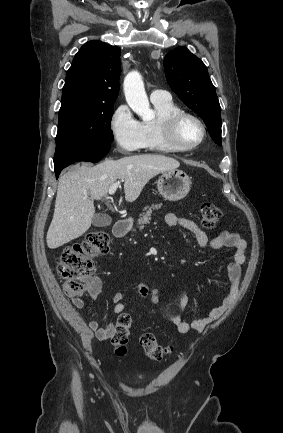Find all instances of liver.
Segmentation results:
<instances>
[{"mask_svg":"<svg viewBox=\"0 0 283 433\" xmlns=\"http://www.w3.org/2000/svg\"><path fill=\"white\" fill-rule=\"evenodd\" d=\"M178 166L179 160L171 156L135 154L119 160L106 158L96 166L83 162L77 170L66 172L58 180L53 219L46 237L49 249L62 247L90 229L95 212L93 200L106 196L117 178L124 180L125 200L133 202L150 178Z\"/></svg>","mask_w":283,"mask_h":433,"instance_id":"1","label":"liver"}]
</instances>
